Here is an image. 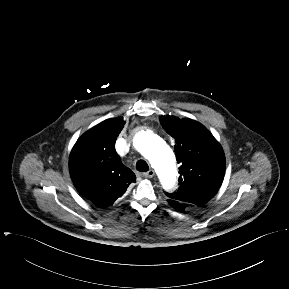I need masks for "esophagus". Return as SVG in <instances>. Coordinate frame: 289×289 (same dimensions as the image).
<instances>
[{
	"label": "esophagus",
	"instance_id": "obj_1",
	"mask_svg": "<svg viewBox=\"0 0 289 289\" xmlns=\"http://www.w3.org/2000/svg\"><path fill=\"white\" fill-rule=\"evenodd\" d=\"M155 175V172L153 169H150L149 171L143 173V176L146 178H152Z\"/></svg>",
	"mask_w": 289,
	"mask_h": 289
}]
</instances>
